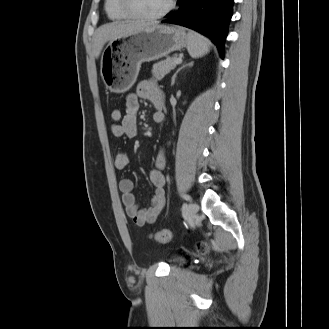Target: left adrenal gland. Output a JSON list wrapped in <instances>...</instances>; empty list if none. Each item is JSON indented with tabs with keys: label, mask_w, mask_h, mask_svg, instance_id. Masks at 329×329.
Wrapping results in <instances>:
<instances>
[{
	"label": "left adrenal gland",
	"mask_w": 329,
	"mask_h": 329,
	"mask_svg": "<svg viewBox=\"0 0 329 329\" xmlns=\"http://www.w3.org/2000/svg\"><path fill=\"white\" fill-rule=\"evenodd\" d=\"M193 64H194L193 61L190 62V63H184L180 68H178L177 71H176V72L174 73V75L172 76V79H171V86L174 85V83H175V79H176L178 73H179L182 69H184V68H186V67H192Z\"/></svg>",
	"instance_id": "a2214340"
}]
</instances>
